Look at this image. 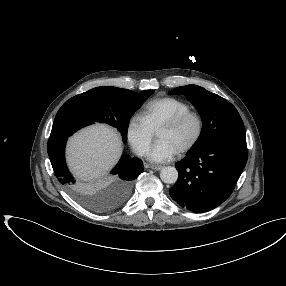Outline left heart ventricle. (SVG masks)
<instances>
[{
    "label": "left heart ventricle",
    "instance_id": "obj_1",
    "mask_svg": "<svg viewBox=\"0 0 286 286\" xmlns=\"http://www.w3.org/2000/svg\"><path fill=\"white\" fill-rule=\"evenodd\" d=\"M196 122L191 119L184 124L171 129H162L157 133L159 140H167L180 151L187 145L196 133Z\"/></svg>",
    "mask_w": 286,
    "mask_h": 286
}]
</instances>
